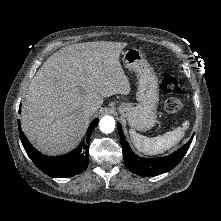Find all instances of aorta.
<instances>
[{
	"instance_id": "1",
	"label": "aorta",
	"mask_w": 221,
	"mask_h": 221,
	"mask_svg": "<svg viewBox=\"0 0 221 221\" xmlns=\"http://www.w3.org/2000/svg\"><path fill=\"white\" fill-rule=\"evenodd\" d=\"M99 128L103 133H111L115 128V120L112 116H104L99 122Z\"/></svg>"
}]
</instances>
